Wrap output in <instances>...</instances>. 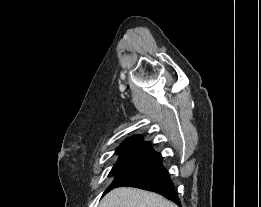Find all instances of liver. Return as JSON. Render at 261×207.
<instances>
[{
	"label": "liver",
	"instance_id": "6515ba94",
	"mask_svg": "<svg viewBox=\"0 0 261 207\" xmlns=\"http://www.w3.org/2000/svg\"><path fill=\"white\" fill-rule=\"evenodd\" d=\"M99 207H177L159 194L132 187L110 191Z\"/></svg>",
	"mask_w": 261,
	"mask_h": 207
}]
</instances>
